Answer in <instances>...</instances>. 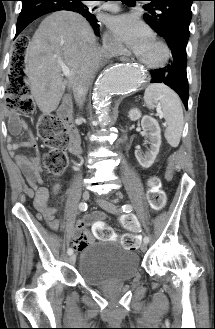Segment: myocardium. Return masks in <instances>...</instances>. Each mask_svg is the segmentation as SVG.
I'll return each mask as SVG.
<instances>
[{"mask_svg": "<svg viewBox=\"0 0 215 329\" xmlns=\"http://www.w3.org/2000/svg\"><path fill=\"white\" fill-rule=\"evenodd\" d=\"M153 43L160 49L161 57L157 61L150 62V61H145L138 54L137 60L139 63H141L143 66L149 69H160L163 68L169 62L171 58V49L168 46V44L163 40L155 39L153 40Z\"/></svg>", "mask_w": 215, "mask_h": 329, "instance_id": "f54148a6", "label": "myocardium"}]
</instances>
